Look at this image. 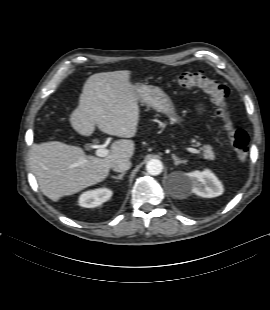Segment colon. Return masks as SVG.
<instances>
[{
	"mask_svg": "<svg viewBox=\"0 0 270 310\" xmlns=\"http://www.w3.org/2000/svg\"><path fill=\"white\" fill-rule=\"evenodd\" d=\"M177 83L185 88H199L205 92L216 106V114L223 121L230 144L237 157L246 161L249 155V137L247 133L236 127L228 107L229 91L217 80L201 72H185L177 77Z\"/></svg>",
	"mask_w": 270,
	"mask_h": 310,
	"instance_id": "1",
	"label": "colon"
}]
</instances>
